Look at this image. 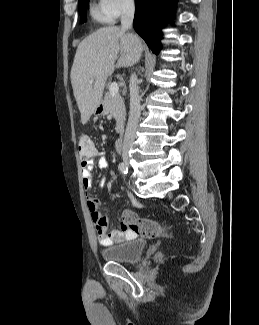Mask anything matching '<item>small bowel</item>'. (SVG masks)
Instances as JSON below:
<instances>
[{"label":"small bowel","instance_id":"c3829d8e","mask_svg":"<svg viewBox=\"0 0 259 325\" xmlns=\"http://www.w3.org/2000/svg\"><path fill=\"white\" fill-rule=\"evenodd\" d=\"M101 170H106L108 168V161L106 160L104 153L98 150L95 151L93 156L87 160H82L81 162V175H82V184L86 191L92 188L93 184V169L94 165ZM107 183L106 177H102L100 180V186H105ZM130 201L139 206L138 201L134 195L130 192L127 193ZM100 200L97 198L87 197V208L91 217V220L95 226V230L98 236L99 243L103 246H110L113 244L121 243L125 240L132 239L135 237L131 229H129L122 221L119 230H110L109 224L110 221L105 217L100 210Z\"/></svg>","mask_w":259,"mask_h":325}]
</instances>
